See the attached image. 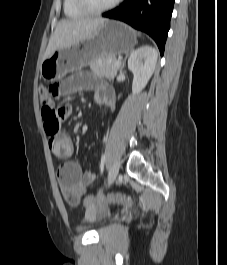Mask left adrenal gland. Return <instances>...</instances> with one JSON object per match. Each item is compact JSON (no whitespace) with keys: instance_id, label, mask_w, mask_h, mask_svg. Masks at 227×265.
<instances>
[{"instance_id":"obj_1","label":"left adrenal gland","mask_w":227,"mask_h":265,"mask_svg":"<svg viewBox=\"0 0 227 265\" xmlns=\"http://www.w3.org/2000/svg\"><path fill=\"white\" fill-rule=\"evenodd\" d=\"M128 55H126V57L124 58V60L122 61V65H121V68H120V71L124 68L125 66V61H126V58H127Z\"/></svg>"}]
</instances>
